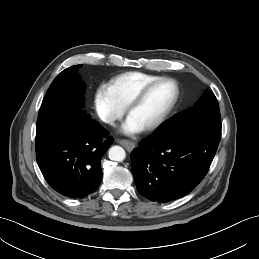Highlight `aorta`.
Masks as SVG:
<instances>
[{"mask_svg": "<svg viewBox=\"0 0 259 259\" xmlns=\"http://www.w3.org/2000/svg\"><path fill=\"white\" fill-rule=\"evenodd\" d=\"M109 158L113 161L121 162L125 159V150L120 146H113L109 149Z\"/></svg>", "mask_w": 259, "mask_h": 259, "instance_id": "1", "label": "aorta"}]
</instances>
